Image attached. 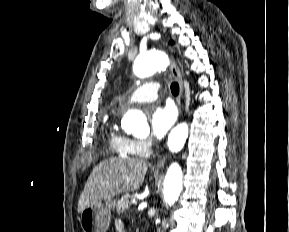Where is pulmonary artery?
I'll list each match as a JSON object with an SVG mask.
<instances>
[{
    "label": "pulmonary artery",
    "instance_id": "1",
    "mask_svg": "<svg viewBox=\"0 0 289 232\" xmlns=\"http://www.w3.org/2000/svg\"><path fill=\"white\" fill-rule=\"evenodd\" d=\"M159 85L154 82L138 87L127 100V105L154 101L158 98Z\"/></svg>",
    "mask_w": 289,
    "mask_h": 232
}]
</instances>
